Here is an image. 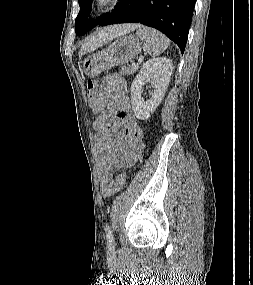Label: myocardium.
I'll list each match as a JSON object with an SVG mask.
<instances>
[{
	"label": "myocardium",
	"mask_w": 253,
	"mask_h": 285,
	"mask_svg": "<svg viewBox=\"0 0 253 285\" xmlns=\"http://www.w3.org/2000/svg\"><path fill=\"white\" fill-rule=\"evenodd\" d=\"M122 0H92L91 8L95 13H107L115 10Z\"/></svg>",
	"instance_id": "1"
}]
</instances>
